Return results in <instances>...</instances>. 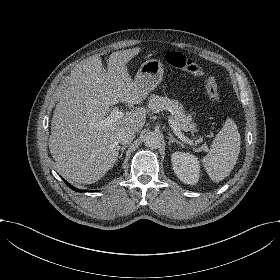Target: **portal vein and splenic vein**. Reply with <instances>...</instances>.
<instances>
[{
	"label": "portal vein and splenic vein",
	"instance_id": "1",
	"mask_svg": "<svg viewBox=\"0 0 280 280\" xmlns=\"http://www.w3.org/2000/svg\"><path fill=\"white\" fill-rule=\"evenodd\" d=\"M125 116V111L124 110H112V113L104 120L99 121L98 123L101 126H106V125H110L112 121L114 120H118L121 119ZM170 126L172 127L173 131L175 134H177L182 140H184L185 143H187L189 146L191 147H198L199 150L202 151H207L208 147L207 146H198L197 142H194L193 140H189L187 139L184 135L181 134L180 129L177 126V123L175 122V120L173 119V116L168 115L166 116Z\"/></svg>",
	"mask_w": 280,
	"mask_h": 280
}]
</instances>
